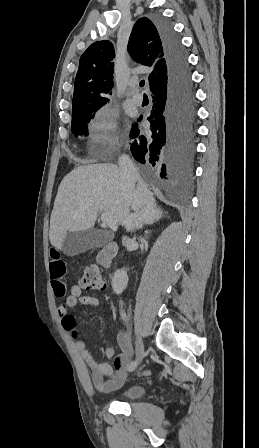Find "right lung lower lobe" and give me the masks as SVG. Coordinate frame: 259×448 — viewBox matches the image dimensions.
Listing matches in <instances>:
<instances>
[{
  "instance_id": "right-lung-lower-lobe-1",
  "label": "right lung lower lobe",
  "mask_w": 259,
  "mask_h": 448,
  "mask_svg": "<svg viewBox=\"0 0 259 448\" xmlns=\"http://www.w3.org/2000/svg\"><path fill=\"white\" fill-rule=\"evenodd\" d=\"M155 23L164 48L168 83L152 93L153 106L147 118L150 134H140L137 123L132 126L130 151L138 162L160 171L161 178L183 185L192 177L196 154L194 86L187 55L172 26L161 18Z\"/></svg>"
}]
</instances>
